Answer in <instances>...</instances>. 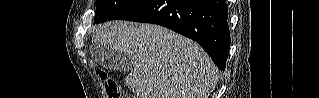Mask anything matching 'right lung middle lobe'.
<instances>
[{
    "mask_svg": "<svg viewBox=\"0 0 319 98\" xmlns=\"http://www.w3.org/2000/svg\"><path fill=\"white\" fill-rule=\"evenodd\" d=\"M145 1L146 0H96L94 22L102 23L117 19Z\"/></svg>",
    "mask_w": 319,
    "mask_h": 98,
    "instance_id": "dd1d6c3e",
    "label": "right lung middle lobe"
}]
</instances>
